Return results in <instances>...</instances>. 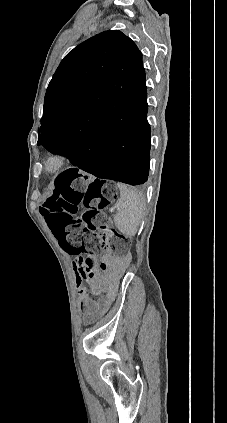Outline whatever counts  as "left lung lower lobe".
Here are the masks:
<instances>
[{
    "mask_svg": "<svg viewBox=\"0 0 227 423\" xmlns=\"http://www.w3.org/2000/svg\"><path fill=\"white\" fill-rule=\"evenodd\" d=\"M142 113L108 112L83 135L53 142L46 149L61 154L80 169L99 178L130 185L148 179L150 126ZM69 169L66 175H77Z\"/></svg>",
    "mask_w": 227,
    "mask_h": 423,
    "instance_id": "left-lung-lower-lobe-1",
    "label": "left lung lower lobe"
}]
</instances>
